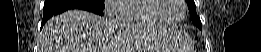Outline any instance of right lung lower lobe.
Listing matches in <instances>:
<instances>
[{"label":"right lung lower lobe","mask_w":261,"mask_h":52,"mask_svg":"<svg viewBox=\"0 0 261 52\" xmlns=\"http://www.w3.org/2000/svg\"><path fill=\"white\" fill-rule=\"evenodd\" d=\"M82 9L93 12L98 15H103L102 10L94 9L91 7L83 6L77 3H70L67 0H46L43 8V20L41 27L53 15L60 14L68 9Z\"/></svg>","instance_id":"98d812e1"}]
</instances>
